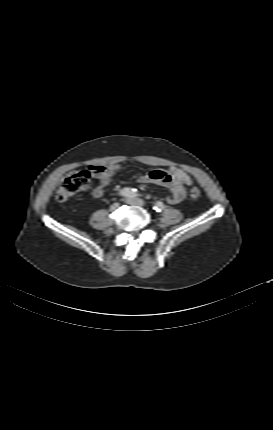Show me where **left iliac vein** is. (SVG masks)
Segmentation results:
<instances>
[{
	"mask_svg": "<svg viewBox=\"0 0 273 430\" xmlns=\"http://www.w3.org/2000/svg\"><path fill=\"white\" fill-rule=\"evenodd\" d=\"M125 202L127 204H130V205H138V206H144L145 205V202L139 198H127L125 200Z\"/></svg>",
	"mask_w": 273,
	"mask_h": 430,
	"instance_id": "1",
	"label": "left iliac vein"
}]
</instances>
